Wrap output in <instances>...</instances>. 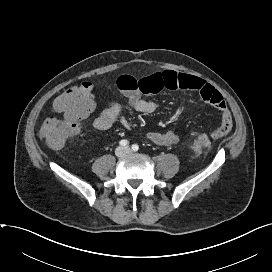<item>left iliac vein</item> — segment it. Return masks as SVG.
Segmentation results:
<instances>
[{"label":"left iliac vein","instance_id":"left-iliac-vein-1","mask_svg":"<svg viewBox=\"0 0 272 272\" xmlns=\"http://www.w3.org/2000/svg\"><path fill=\"white\" fill-rule=\"evenodd\" d=\"M125 150H126V153L131 152V149H130V148H128V147H126V148H125Z\"/></svg>","mask_w":272,"mask_h":272}]
</instances>
